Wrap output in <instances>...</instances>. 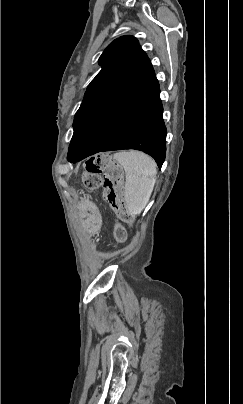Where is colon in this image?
Returning a JSON list of instances; mask_svg holds the SVG:
<instances>
[{
  "instance_id": "1",
  "label": "colon",
  "mask_w": 243,
  "mask_h": 404,
  "mask_svg": "<svg viewBox=\"0 0 243 404\" xmlns=\"http://www.w3.org/2000/svg\"><path fill=\"white\" fill-rule=\"evenodd\" d=\"M83 183L92 190L102 187L104 198L112 209L123 219L131 221L132 216L124 200L123 172L110 155H97L87 161ZM115 231L117 240L121 241L123 229L117 226Z\"/></svg>"
}]
</instances>
